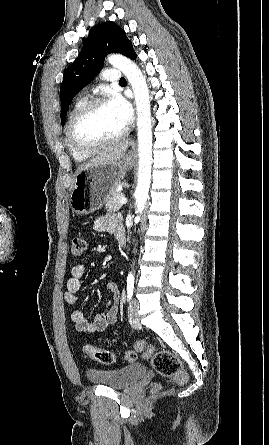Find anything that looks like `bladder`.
I'll return each mask as SVG.
<instances>
[{"mask_svg":"<svg viewBox=\"0 0 269 445\" xmlns=\"http://www.w3.org/2000/svg\"><path fill=\"white\" fill-rule=\"evenodd\" d=\"M147 372L143 364L135 363L117 369H90L87 379L97 385L113 389H125L140 380Z\"/></svg>","mask_w":269,"mask_h":445,"instance_id":"1","label":"bladder"}]
</instances>
